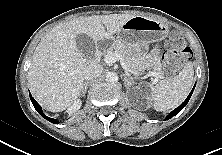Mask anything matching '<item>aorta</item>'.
<instances>
[{
    "mask_svg": "<svg viewBox=\"0 0 222 155\" xmlns=\"http://www.w3.org/2000/svg\"><path fill=\"white\" fill-rule=\"evenodd\" d=\"M106 81L108 83H116L118 81V75L114 72H109L107 75H106Z\"/></svg>",
    "mask_w": 222,
    "mask_h": 155,
    "instance_id": "762f6f07",
    "label": "aorta"
}]
</instances>
